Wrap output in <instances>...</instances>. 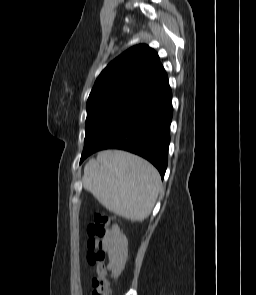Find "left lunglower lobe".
<instances>
[{
  "mask_svg": "<svg viewBox=\"0 0 256 295\" xmlns=\"http://www.w3.org/2000/svg\"><path fill=\"white\" fill-rule=\"evenodd\" d=\"M172 114V94L168 84L158 95L119 121L93 146L83 149L80 163L96 151L122 149L149 160L163 178Z\"/></svg>",
  "mask_w": 256,
  "mask_h": 295,
  "instance_id": "0a47b994",
  "label": "left lung lower lobe"
}]
</instances>
